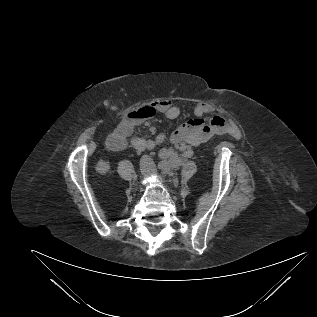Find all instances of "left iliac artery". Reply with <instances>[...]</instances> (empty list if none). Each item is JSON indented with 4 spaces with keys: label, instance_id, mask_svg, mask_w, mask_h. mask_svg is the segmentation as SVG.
I'll list each match as a JSON object with an SVG mask.
<instances>
[{
    "label": "left iliac artery",
    "instance_id": "left-iliac-artery-1",
    "mask_svg": "<svg viewBox=\"0 0 317 317\" xmlns=\"http://www.w3.org/2000/svg\"><path fill=\"white\" fill-rule=\"evenodd\" d=\"M169 169L168 168H166V170L165 171H168Z\"/></svg>",
    "mask_w": 317,
    "mask_h": 317
}]
</instances>
